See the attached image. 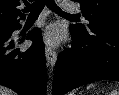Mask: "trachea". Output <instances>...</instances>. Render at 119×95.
Listing matches in <instances>:
<instances>
[{"label":"trachea","instance_id":"1","mask_svg":"<svg viewBox=\"0 0 119 95\" xmlns=\"http://www.w3.org/2000/svg\"><path fill=\"white\" fill-rule=\"evenodd\" d=\"M45 5L52 10L53 12L64 15V16H71V17H77L75 14H69L62 11L55 3L54 0H36L32 4L26 5V8L24 9V12H29V16H36L41 13Z\"/></svg>","mask_w":119,"mask_h":95}]
</instances>
